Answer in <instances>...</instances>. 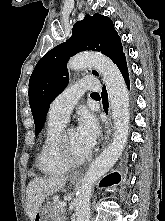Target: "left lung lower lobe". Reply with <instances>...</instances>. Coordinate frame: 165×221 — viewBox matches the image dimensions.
<instances>
[{
	"instance_id": "obj_1",
	"label": "left lung lower lobe",
	"mask_w": 165,
	"mask_h": 221,
	"mask_svg": "<svg viewBox=\"0 0 165 221\" xmlns=\"http://www.w3.org/2000/svg\"><path fill=\"white\" fill-rule=\"evenodd\" d=\"M117 66L119 70L122 73V76L126 82V85L128 86V89L130 88V82H129V75H128V68H127V63H126V58L123 56L117 63ZM102 101H103V106H104V111L107 113L108 112V96L106 92L105 86L103 87L102 91ZM120 181V176L118 173H113L105 177L101 183L100 186H110L113 185L114 183H118Z\"/></svg>"
}]
</instances>
